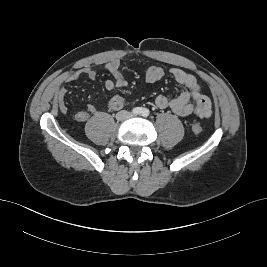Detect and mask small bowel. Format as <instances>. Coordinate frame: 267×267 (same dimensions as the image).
<instances>
[{
    "label": "small bowel",
    "instance_id": "1",
    "mask_svg": "<svg viewBox=\"0 0 267 267\" xmlns=\"http://www.w3.org/2000/svg\"><path fill=\"white\" fill-rule=\"evenodd\" d=\"M104 68L110 72L112 79H108L105 82V89L109 93H113L116 89L125 88L128 85V81L125 78L121 64L118 59H113L104 64ZM169 75L183 88V91L175 98H168L164 95H159L155 99V104L158 108L169 109L174 114L186 117L196 116L201 119L209 118L212 114L211 100L207 96L197 79L179 68H171L168 70ZM82 75L87 76L89 79L94 80L97 77V73L93 68L84 67L66 76V82H73L78 80ZM166 71L161 66L152 65L146 73V80L149 82H157L164 78ZM67 89L60 87L56 94V101L61 113L65 114L68 111L66 102ZM193 100V103L190 101ZM124 106V99L118 94H112L107 108L109 110H120ZM101 108L95 104H89L85 110H80L75 113L74 118L78 122H86L90 115H95L101 112Z\"/></svg>",
    "mask_w": 267,
    "mask_h": 267
}]
</instances>
